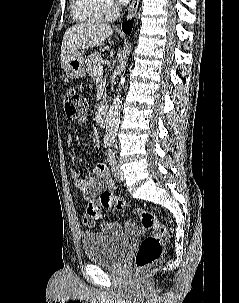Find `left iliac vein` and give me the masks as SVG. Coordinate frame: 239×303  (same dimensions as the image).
I'll return each instance as SVG.
<instances>
[{
	"label": "left iliac vein",
	"instance_id": "left-iliac-vein-1",
	"mask_svg": "<svg viewBox=\"0 0 239 303\" xmlns=\"http://www.w3.org/2000/svg\"><path fill=\"white\" fill-rule=\"evenodd\" d=\"M113 173H114L115 178L118 181H122L123 180V171L120 168L119 164H116L115 168L113 169Z\"/></svg>",
	"mask_w": 239,
	"mask_h": 303
}]
</instances>
